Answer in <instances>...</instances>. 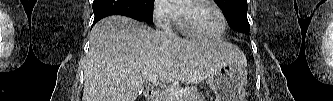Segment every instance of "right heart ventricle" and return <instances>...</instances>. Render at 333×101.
<instances>
[{"label":"right heart ventricle","instance_id":"1","mask_svg":"<svg viewBox=\"0 0 333 101\" xmlns=\"http://www.w3.org/2000/svg\"><path fill=\"white\" fill-rule=\"evenodd\" d=\"M179 27H180L181 29H183V26H182V23H181V22H179Z\"/></svg>","mask_w":333,"mask_h":101}]
</instances>
